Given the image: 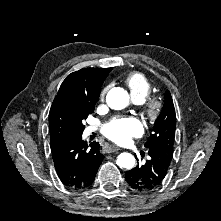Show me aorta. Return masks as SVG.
<instances>
[{
	"instance_id": "obj_1",
	"label": "aorta",
	"mask_w": 221,
	"mask_h": 221,
	"mask_svg": "<svg viewBox=\"0 0 221 221\" xmlns=\"http://www.w3.org/2000/svg\"><path fill=\"white\" fill-rule=\"evenodd\" d=\"M106 101L110 108L121 110L128 106L129 95L123 88L115 87L107 93ZM117 165L120 168L132 169L135 165V158L130 153H121L117 157Z\"/></svg>"
}]
</instances>
